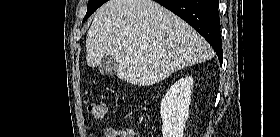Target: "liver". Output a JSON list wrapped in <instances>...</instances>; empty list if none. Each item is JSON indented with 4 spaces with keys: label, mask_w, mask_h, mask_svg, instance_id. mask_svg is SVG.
<instances>
[{
    "label": "liver",
    "mask_w": 280,
    "mask_h": 137,
    "mask_svg": "<svg viewBox=\"0 0 280 137\" xmlns=\"http://www.w3.org/2000/svg\"><path fill=\"white\" fill-rule=\"evenodd\" d=\"M86 59L99 66L114 56L119 79L150 86L214 56L190 25L152 0H110L95 13L86 37Z\"/></svg>",
    "instance_id": "6515ba94"
}]
</instances>
